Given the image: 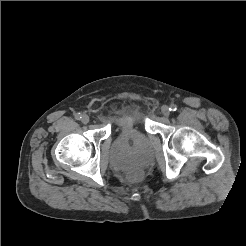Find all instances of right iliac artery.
Returning a JSON list of instances; mask_svg holds the SVG:
<instances>
[{"instance_id":"1","label":"right iliac artery","mask_w":246,"mask_h":246,"mask_svg":"<svg viewBox=\"0 0 246 246\" xmlns=\"http://www.w3.org/2000/svg\"><path fill=\"white\" fill-rule=\"evenodd\" d=\"M82 118V115L80 113L75 114V119L80 120Z\"/></svg>"}]
</instances>
